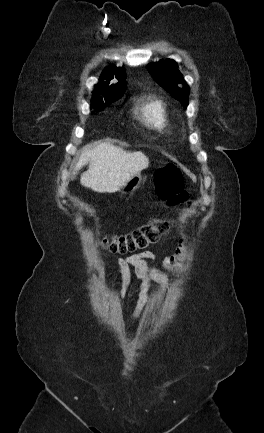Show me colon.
I'll return each mask as SVG.
<instances>
[{
    "label": "colon",
    "mask_w": 264,
    "mask_h": 433,
    "mask_svg": "<svg viewBox=\"0 0 264 433\" xmlns=\"http://www.w3.org/2000/svg\"><path fill=\"white\" fill-rule=\"evenodd\" d=\"M155 187L158 196L170 205H179L188 200L182 174L175 165L168 164L158 170ZM168 228L167 221L154 220L131 233L107 236L104 244L112 253H133L157 243Z\"/></svg>",
    "instance_id": "1"
}]
</instances>
